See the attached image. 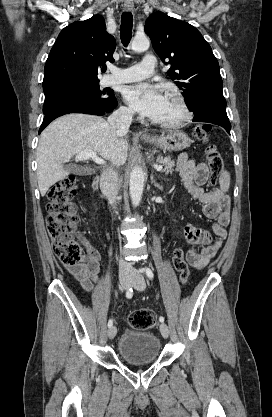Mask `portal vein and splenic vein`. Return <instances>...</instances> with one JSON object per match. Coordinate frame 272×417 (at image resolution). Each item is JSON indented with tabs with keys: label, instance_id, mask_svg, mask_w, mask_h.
<instances>
[{
	"label": "portal vein and splenic vein",
	"instance_id": "portal-vein-and-splenic-vein-1",
	"mask_svg": "<svg viewBox=\"0 0 272 417\" xmlns=\"http://www.w3.org/2000/svg\"><path fill=\"white\" fill-rule=\"evenodd\" d=\"M75 159L76 160H88V159H92L98 165H105L104 159H102L101 157H99L97 155V153L95 151H92V150H85V151L80 152L78 155H76ZM155 169L157 171H161L163 169V166L162 165H158V166L155 167Z\"/></svg>",
	"mask_w": 272,
	"mask_h": 417
}]
</instances>
